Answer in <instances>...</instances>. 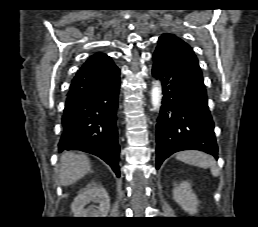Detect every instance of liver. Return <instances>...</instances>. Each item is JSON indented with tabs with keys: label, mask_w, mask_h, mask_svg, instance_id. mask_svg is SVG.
Instances as JSON below:
<instances>
[{
	"label": "liver",
	"mask_w": 258,
	"mask_h": 227,
	"mask_svg": "<svg viewBox=\"0 0 258 227\" xmlns=\"http://www.w3.org/2000/svg\"><path fill=\"white\" fill-rule=\"evenodd\" d=\"M61 168L59 171L60 183L63 186L76 183L91 169L89 158L84 154L64 152L60 156Z\"/></svg>",
	"instance_id": "obj_1"
}]
</instances>
